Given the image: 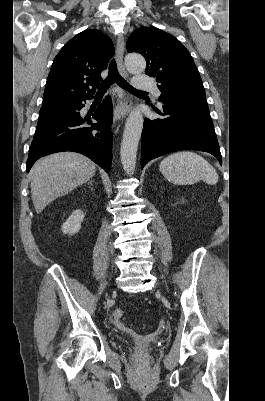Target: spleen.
<instances>
[{"instance_id": "obj_1", "label": "spleen", "mask_w": 265, "mask_h": 401, "mask_svg": "<svg viewBox=\"0 0 265 401\" xmlns=\"http://www.w3.org/2000/svg\"><path fill=\"white\" fill-rule=\"evenodd\" d=\"M160 170L172 184H194L204 180L207 184L218 182L217 170L196 152H173L160 162Z\"/></svg>"}]
</instances>
